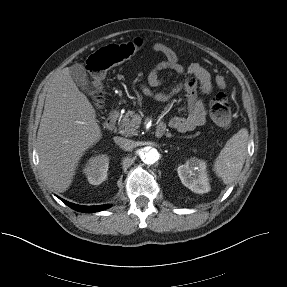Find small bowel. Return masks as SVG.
<instances>
[{
  "label": "small bowel",
  "mask_w": 287,
  "mask_h": 287,
  "mask_svg": "<svg viewBox=\"0 0 287 287\" xmlns=\"http://www.w3.org/2000/svg\"><path fill=\"white\" fill-rule=\"evenodd\" d=\"M153 50L164 55L165 59L159 62L148 74L147 83L141 84L143 94L153 98L157 102H166L176 96L181 91L187 94L188 112L185 116H174L169 119V126L179 132L192 131L205 123L206 109L202 97L198 96V91L202 95H207L212 91L213 80L209 71L199 63H192L185 67L179 61L177 53L163 43H155ZM168 75L186 76L184 80L176 84L168 92H155L154 87L161 86ZM215 84L218 88L224 89L226 81L223 76H216ZM165 126L164 123H160Z\"/></svg>",
  "instance_id": "c3829d8e"
}]
</instances>
